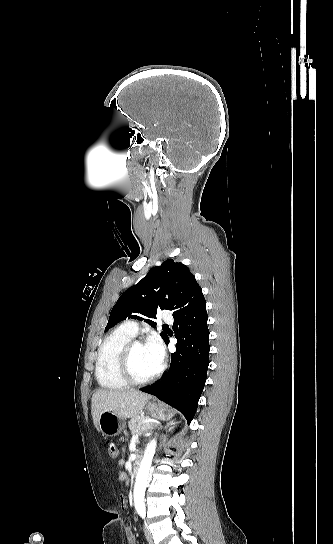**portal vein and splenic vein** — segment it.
<instances>
[{
    "mask_svg": "<svg viewBox=\"0 0 333 544\" xmlns=\"http://www.w3.org/2000/svg\"><path fill=\"white\" fill-rule=\"evenodd\" d=\"M138 439V435L132 437V442H135Z\"/></svg>",
    "mask_w": 333,
    "mask_h": 544,
    "instance_id": "obj_1",
    "label": "portal vein and splenic vein"
}]
</instances>
